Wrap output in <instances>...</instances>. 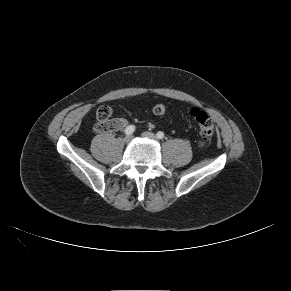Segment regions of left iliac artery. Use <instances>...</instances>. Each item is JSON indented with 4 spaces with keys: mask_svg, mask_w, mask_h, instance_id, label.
<instances>
[{
    "mask_svg": "<svg viewBox=\"0 0 291 291\" xmlns=\"http://www.w3.org/2000/svg\"><path fill=\"white\" fill-rule=\"evenodd\" d=\"M156 135H157L158 139H163L164 138V133L161 132V131H159Z\"/></svg>",
    "mask_w": 291,
    "mask_h": 291,
    "instance_id": "obj_1",
    "label": "left iliac artery"
}]
</instances>
